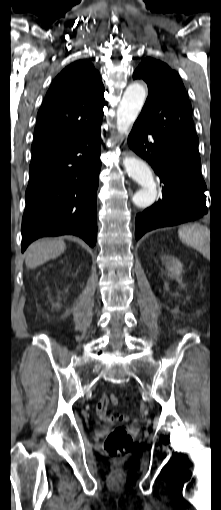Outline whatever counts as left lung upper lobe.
Returning a JSON list of instances; mask_svg holds the SVG:
<instances>
[{"label": "left lung upper lobe", "instance_id": "1", "mask_svg": "<svg viewBox=\"0 0 221 510\" xmlns=\"http://www.w3.org/2000/svg\"><path fill=\"white\" fill-rule=\"evenodd\" d=\"M148 85V97L138 119L161 139L199 157L191 103L177 72L153 58L144 59L133 74Z\"/></svg>", "mask_w": 221, "mask_h": 510}]
</instances>
